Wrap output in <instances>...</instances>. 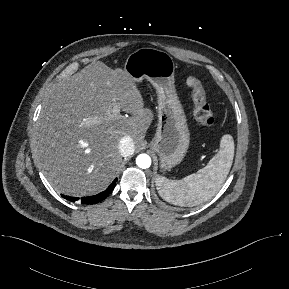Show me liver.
<instances>
[{
	"label": "liver",
	"instance_id": "1",
	"mask_svg": "<svg viewBox=\"0 0 289 289\" xmlns=\"http://www.w3.org/2000/svg\"><path fill=\"white\" fill-rule=\"evenodd\" d=\"M114 106L131 116L113 115ZM151 121L134 79L121 68L94 61L59 83L44 101L33 137L36 160L57 192L99 193L122 162L121 138L129 136L139 147Z\"/></svg>",
	"mask_w": 289,
	"mask_h": 289
}]
</instances>
